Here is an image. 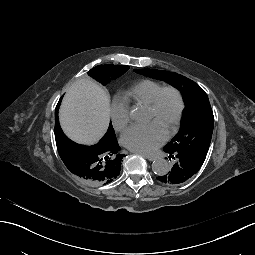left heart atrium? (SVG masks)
Instances as JSON below:
<instances>
[{"mask_svg":"<svg viewBox=\"0 0 255 255\" xmlns=\"http://www.w3.org/2000/svg\"><path fill=\"white\" fill-rule=\"evenodd\" d=\"M166 141V135L152 124H136L127 129L122 144L129 150L139 153H152Z\"/></svg>","mask_w":255,"mask_h":255,"instance_id":"obj_1","label":"left heart atrium"}]
</instances>
